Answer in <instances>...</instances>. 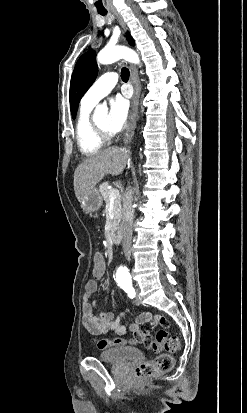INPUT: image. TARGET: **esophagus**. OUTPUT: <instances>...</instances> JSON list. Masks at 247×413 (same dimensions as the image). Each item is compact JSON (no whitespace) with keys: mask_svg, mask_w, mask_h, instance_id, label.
<instances>
[{"mask_svg":"<svg viewBox=\"0 0 247 413\" xmlns=\"http://www.w3.org/2000/svg\"><path fill=\"white\" fill-rule=\"evenodd\" d=\"M114 17L117 19L122 27H125L122 17L117 12H112ZM130 82L133 86V95L131 98L130 114L128 124L124 133L123 143H129L134 135L137 120L139 118V99L141 93V84L139 80L138 70L134 65H130Z\"/></svg>","mask_w":247,"mask_h":413,"instance_id":"obj_1","label":"esophagus"}]
</instances>
